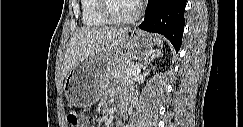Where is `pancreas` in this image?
<instances>
[{"mask_svg":"<svg viewBox=\"0 0 243 127\" xmlns=\"http://www.w3.org/2000/svg\"><path fill=\"white\" fill-rule=\"evenodd\" d=\"M134 64L129 61H124L118 63L114 66L110 72V78L112 80H130L132 79L133 75L128 73V70L133 69Z\"/></svg>","mask_w":243,"mask_h":127,"instance_id":"cf45deb5","label":"pancreas"}]
</instances>
